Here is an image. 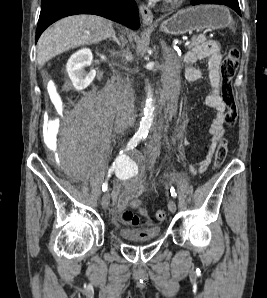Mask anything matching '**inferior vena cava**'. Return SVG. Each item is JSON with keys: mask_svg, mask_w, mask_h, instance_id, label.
Returning a JSON list of instances; mask_svg holds the SVG:
<instances>
[{"mask_svg": "<svg viewBox=\"0 0 267 298\" xmlns=\"http://www.w3.org/2000/svg\"><path fill=\"white\" fill-rule=\"evenodd\" d=\"M134 93L131 82H127L120 89L118 96L117 117L119 124L123 127L132 125L135 119L134 109Z\"/></svg>", "mask_w": 267, "mask_h": 298, "instance_id": "obj_1", "label": "inferior vena cava"}]
</instances>
